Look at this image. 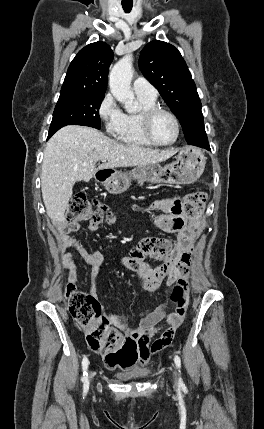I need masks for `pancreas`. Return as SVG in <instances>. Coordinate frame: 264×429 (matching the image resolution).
<instances>
[{"mask_svg": "<svg viewBox=\"0 0 264 429\" xmlns=\"http://www.w3.org/2000/svg\"><path fill=\"white\" fill-rule=\"evenodd\" d=\"M138 184H140V186H142L144 184L143 180H138Z\"/></svg>", "mask_w": 264, "mask_h": 429, "instance_id": "cf45deb5", "label": "pancreas"}]
</instances>
